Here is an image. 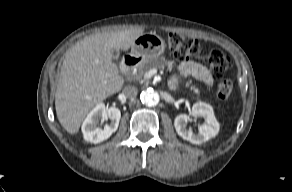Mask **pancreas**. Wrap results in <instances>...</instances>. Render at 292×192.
Instances as JSON below:
<instances>
[{
	"label": "pancreas",
	"mask_w": 292,
	"mask_h": 192,
	"mask_svg": "<svg viewBox=\"0 0 292 192\" xmlns=\"http://www.w3.org/2000/svg\"><path fill=\"white\" fill-rule=\"evenodd\" d=\"M165 66H167L169 70H172L174 63L171 61H167L164 57L144 61L137 67L136 72L134 73V79L137 81L146 82L148 81V79L145 78L146 72L155 68H164ZM185 86L190 87V82H187ZM190 89L199 94L198 88L191 86Z\"/></svg>",
	"instance_id": "pancreas-1"
}]
</instances>
